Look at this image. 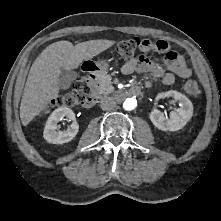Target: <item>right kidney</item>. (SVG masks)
<instances>
[{
    "label": "right kidney",
    "mask_w": 221,
    "mask_h": 221,
    "mask_svg": "<svg viewBox=\"0 0 221 221\" xmlns=\"http://www.w3.org/2000/svg\"><path fill=\"white\" fill-rule=\"evenodd\" d=\"M64 117L69 120H75L74 112L67 107H60L54 110L46 121L43 137L44 139L53 144H63L70 142L78 133L79 125L73 122L67 130L57 131L58 122Z\"/></svg>",
    "instance_id": "ca27d5eb"
}]
</instances>
